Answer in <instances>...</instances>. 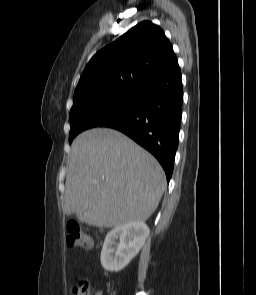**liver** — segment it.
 I'll list each match as a JSON object with an SVG mask.
<instances>
[{
  "label": "liver",
  "mask_w": 256,
  "mask_h": 295,
  "mask_svg": "<svg viewBox=\"0 0 256 295\" xmlns=\"http://www.w3.org/2000/svg\"><path fill=\"white\" fill-rule=\"evenodd\" d=\"M165 189V173L149 152L121 132L95 128L72 144L63 212L97 227L144 222Z\"/></svg>",
  "instance_id": "1"
}]
</instances>
